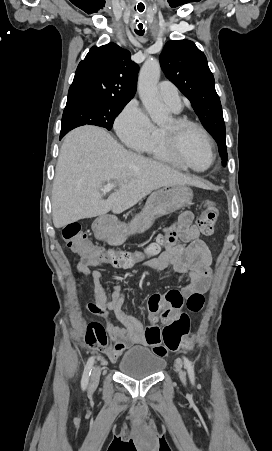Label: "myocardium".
Returning <instances> with one entry per match:
<instances>
[{"label":"myocardium","mask_w":272,"mask_h":451,"mask_svg":"<svg viewBox=\"0 0 272 451\" xmlns=\"http://www.w3.org/2000/svg\"><path fill=\"white\" fill-rule=\"evenodd\" d=\"M171 120L175 125V130L169 131L165 127L162 128V140H163L164 144H166L167 142L171 143V148L176 152L178 159H180L181 168L186 172H205V171L211 169L215 165L217 155H216L214 145H213L208 133L206 132V130L203 127H201L199 124H196L186 118L173 117ZM181 129H194V130L198 131L200 133V135L202 136V138L211 154V162L205 170L197 171V170L191 169L189 166H187L186 164L183 163L182 146H181V141H180V135L178 132Z\"/></svg>","instance_id":"f54148a6"}]
</instances>
